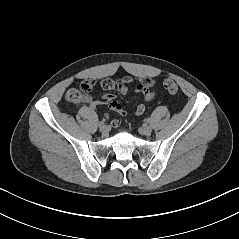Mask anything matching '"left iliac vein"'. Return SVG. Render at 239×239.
Instances as JSON below:
<instances>
[{"instance_id":"left-iliac-vein-1","label":"left iliac vein","mask_w":239,"mask_h":239,"mask_svg":"<svg viewBox=\"0 0 239 239\" xmlns=\"http://www.w3.org/2000/svg\"><path fill=\"white\" fill-rule=\"evenodd\" d=\"M140 133L143 134V135H150L151 132H152V129L151 127L147 126V125H144L140 128Z\"/></svg>"}]
</instances>
